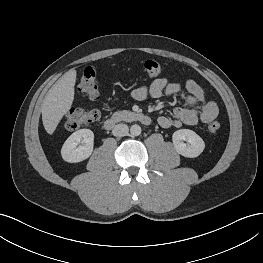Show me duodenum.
<instances>
[{"label": "duodenum", "instance_id": "obj_1", "mask_svg": "<svg viewBox=\"0 0 263 263\" xmlns=\"http://www.w3.org/2000/svg\"><path fill=\"white\" fill-rule=\"evenodd\" d=\"M132 119L144 125H149L151 123L150 116L140 112L133 113ZM118 122L119 121L116 118H107L102 122L101 127L103 130H111L118 124Z\"/></svg>", "mask_w": 263, "mask_h": 263}]
</instances>
